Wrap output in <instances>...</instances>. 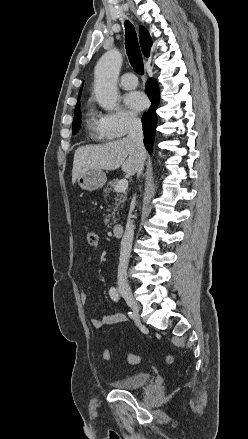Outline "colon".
Returning <instances> with one entry per match:
<instances>
[{
  "instance_id": "1",
  "label": "colon",
  "mask_w": 248,
  "mask_h": 439,
  "mask_svg": "<svg viewBox=\"0 0 248 439\" xmlns=\"http://www.w3.org/2000/svg\"><path fill=\"white\" fill-rule=\"evenodd\" d=\"M85 240H86L87 244L91 247H95L99 243V238H98L97 233L94 231H90V230L85 232ZM102 357L104 360L110 361L112 358L111 352L108 349H104L102 352ZM126 360L130 364H137L139 362V357L137 355H134V354H127ZM166 361L168 363H172L173 357L171 355H168L166 357Z\"/></svg>"
}]
</instances>
